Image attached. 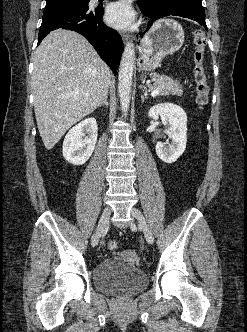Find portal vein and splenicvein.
<instances>
[{"instance_id":"1","label":"portal vein and splenic vein","mask_w":247,"mask_h":332,"mask_svg":"<svg viewBox=\"0 0 247 332\" xmlns=\"http://www.w3.org/2000/svg\"><path fill=\"white\" fill-rule=\"evenodd\" d=\"M159 94V90H153L152 92H151V96H156V95H158Z\"/></svg>"}]
</instances>
